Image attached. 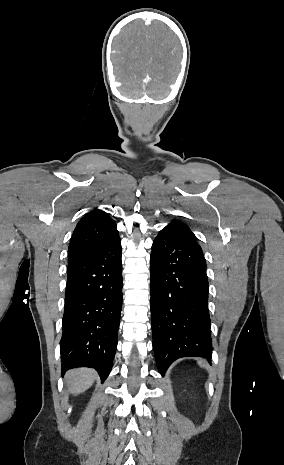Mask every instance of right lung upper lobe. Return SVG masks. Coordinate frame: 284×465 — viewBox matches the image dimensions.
Returning <instances> with one entry per match:
<instances>
[{"mask_svg":"<svg viewBox=\"0 0 284 465\" xmlns=\"http://www.w3.org/2000/svg\"><path fill=\"white\" fill-rule=\"evenodd\" d=\"M115 221L102 210L87 213L77 224L68 248V264L82 261L118 238Z\"/></svg>","mask_w":284,"mask_h":465,"instance_id":"cb5924a9","label":"right lung upper lobe"}]
</instances>
